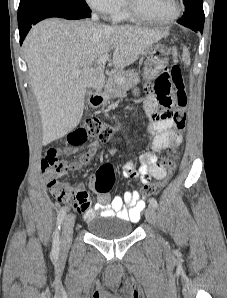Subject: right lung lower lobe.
<instances>
[{
  "label": "right lung lower lobe",
  "instance_id": "right-lung-lower-lobe-1",
  "mask_svg": "<svg viewBox=\"0 0 227 298\" xmlns=\"http://www.w3.org/2000/svg\"><path fill=\"white\" fill-rule=\"evenodd\" d=\"M49 17H60L65 19H82L90 17V11L76 10L63 6H46L39 8L26 16L18 19V27L20 33V44H22L25 36L39 21Z\"/></svg>",
  "mask_w": 227,
  "mask_h": 298
}]
</instances>
